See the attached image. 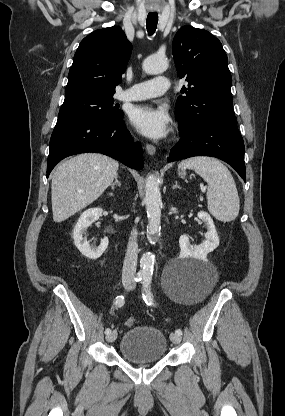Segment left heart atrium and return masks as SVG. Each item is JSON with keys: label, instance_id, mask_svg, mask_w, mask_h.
<instances>
[{"label": "left heart atrium", "instance_id": "obj_1", "mask_svg": "<svg viewBox=\"0 0 285 416\" xmlns=\"http://www.w3.org/2000/svg\"><path fill=\"white\" fill-rule=\"evenodd\" d=\"M130 120L140 133L151 139L164 138L169 131L168 114L163 109L148 104L135 107Z\"/></svg>", "mask_w": 285, "mask_h": 416}]
</instances>
